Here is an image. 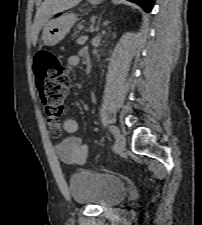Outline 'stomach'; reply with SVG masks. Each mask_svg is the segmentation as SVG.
Instances as JSON below:
<instances>
[{
	"instance_id": "obj_1",
	"label": "stomach",
	"mask_w": 202,
	"mask_h": 225,
	"mask_svg": "<svg viewBox=\"0 0 202 225\" xmlns=\"http://www.w3.org/2000/svg\"><path fill=\"white\" fill-rule=\"evenodd\" d=\"M91 4L97 5L102 0H88ZM78 20L74 13L65 14L59 12L55 14L49 22L43 27L41 40L46 46H54L62 41L70 32L73 25Z\"/></svg>"
}]
</instances>
